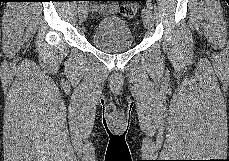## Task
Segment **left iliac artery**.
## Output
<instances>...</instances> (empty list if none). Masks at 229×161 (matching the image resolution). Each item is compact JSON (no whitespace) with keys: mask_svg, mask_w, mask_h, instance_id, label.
I'll list each match as a JSON object with an SVG mask.
<instances>
[{"mask_svg":"<svg viewBox=\"0 0 229 161\" xmlns=\"http://www.w3.org/2000/svg\"><path fill=\"white\" fill-rule=\"evenodd\" d=\"M146 5H147V7L150 8V9L153 8L151 0H147Z\"/></svg>","mask_w":229,"mask_h":161,"instance_id":"44dca946","label":"left iliac artery"}]
</instances>
